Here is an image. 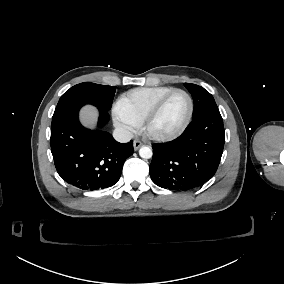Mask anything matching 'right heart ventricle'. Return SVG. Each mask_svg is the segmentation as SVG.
Returning <instances> with one entry per match:
<instances>
[{"label":"right heart ventricle","instance_id":"obj_1","mask_svg":"<svg viewBox=\"0 0 284 284\" xmlns=\"http://www.w3.org/2000/svg\"><path fill=\"white\" fill-rule=\"evenodd\" d=\"M173 89L175 88L166 85L130 89L118 97L115 109L140 124L148 109Z\"/></svg>","mask_w":284,"mask_h":284}]
</instances>
